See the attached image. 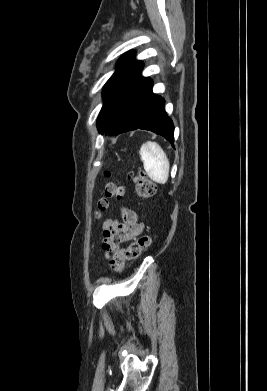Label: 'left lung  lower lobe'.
Wrapping results in <instances>:
<instances>
[{"instance_id": "obj_1", "label": "left lung lower lobe", "mask_w": 267, "mask_h": 391, "mask_svg": "<svg viewBox=\"0 0 267 391\" xmlns=\"http://www.w3.org/2000/svg\"><path fill=\"white\" fill-rule=\"evenodd\" d=\"M153 82L143 78L117 107L106 131L118 135L135 129L152 131L174 144V125L164 110V99L152 93Z\"/></svg>"}]
</instances>
